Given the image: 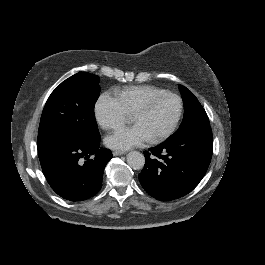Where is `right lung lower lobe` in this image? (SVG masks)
<instances>
[{
    "label": "right lung lower lobe",
    "mask_w": 265,
    "mask_h": 265,
    "mask_svg": "<svg viewBox=\"0 0 265 265\" xmlns=\"http://www.w3.org/2000/svg\"><path fill=\"white\" fill-rule=\"evenodd\" d=\"M99 141L52 140L38 148L43 174L60 197L82 201L94 196L102 186L109 149L100 148ZM86 160L83 163V158Z\"/></svg>",
    "instance_id": "1"
}]
</instances>
